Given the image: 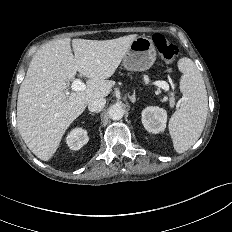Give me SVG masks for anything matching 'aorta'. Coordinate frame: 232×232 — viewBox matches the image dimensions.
<instances>
[{
  "instance_id": "obj_1",
  "label": "aorta",
  "mask_w": 232,
  "mask_h": 232,
  "mask_svg": "<svg viewBox=\"0 0 232 232\" xmlns=\"http://www.w3.org/2000/svg\"><path fill=\"white\" fill-rule=\"evenodd\" d=\"M108 114L112 120H120L124 116V109L120 105H112Z\"/></svg>"
}]
</instances>
